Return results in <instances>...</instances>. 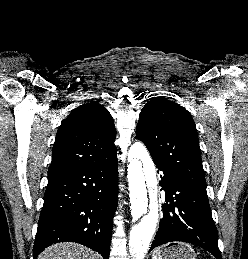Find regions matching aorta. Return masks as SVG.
<instances>
[{"mask_svg":"<svg viewBox=\"0 0 248 259\" xmlns=\"http://www.w3.org/2000/svg\"><path fill=\"white\" fill-rule=\"evenodd\" d=\"M128 185L134 226L130 231L131 259H144L159 219L155 166L147 149L135 142L128 153Z\"/></svg>","mask_w":248,"mask_h":259,"instance_id":"aorta-1","label":"aorta"}]
</instances>
